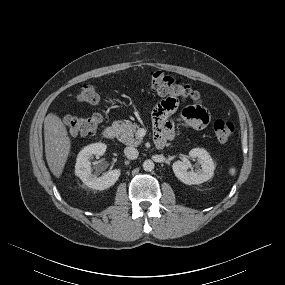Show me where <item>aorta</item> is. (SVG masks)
<instances>
[{
    "mask_svg": "<svg viewBox=\"0 0 285 285\" xmlns=\"http://www.w3.org/2000/svg\"><path fill=\"white\" fill-rule=\"evenodd\" d=\"M154 162L152 161V160H145L144 162H143V169L145 170V171H152L153 169H154Z\"/></svg>",
    "mask_w": 285,
    "mask_h": 285,
    "instance_id": "1",
    "label": "aorta"
}]
</instances>
